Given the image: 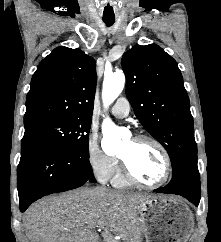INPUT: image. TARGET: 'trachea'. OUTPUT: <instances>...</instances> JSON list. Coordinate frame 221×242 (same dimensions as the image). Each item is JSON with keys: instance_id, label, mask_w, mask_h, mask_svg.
<instances>
[{"instance_id": "trachea-1", "label": "trachea", "mask_w": 221, "mask_h": 242, "mask_svg": "<svg viewBox=\"0 0 221 242\" xmlns=\"http://www.w3.org/2000/svg\"><path fill=\"white\" fill-rule=\"evenodd\" d=\"M103 21L104 23L107 25V26H112L115 22V19H107V18H103Z\"/></svg>"}]
</instances>
